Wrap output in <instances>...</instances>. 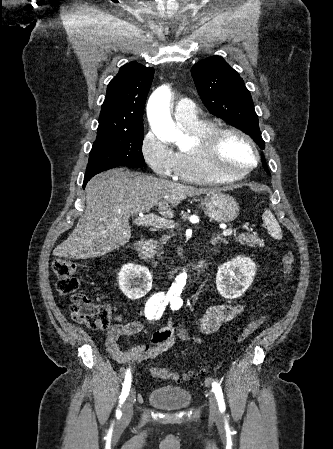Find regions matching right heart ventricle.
I'll list each match as a JSON object with an SVG mask.
<instances>
[{
	"mask_svg": "<svg viewBox=\"0 0 333 449\" xmlns=\"http://www.w3.org/2000/svg\"><path fill=\"white\" fill-rule=\"evenodd\" d=\"M215 125L208 122H198L194 125H181L186 133L196 140L204 136ZM177 153L178 165L176 177L182 181L196 184H210L225 182L212 176L205 168L203 160L195 147L188 150H179Z\"/></svg>",
	"mask_w": 333,
	"mask_h": 449,
	"instance_id": "e07e8e85",
	"label": "right heart ventricle"
}]
</instances>
